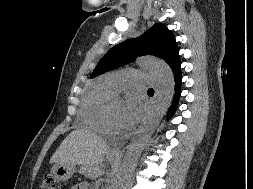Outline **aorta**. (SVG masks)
Listing matches in <instances>:
<instances>
[{"mask_svg": "<svg viewBox=\"0 0 253 189\" xmlns=\"http://www.w3.org/2000/svg\"><path fill=\"white\" fill-rule=\"evenodd\" d=\"M137 63L141 67L148 68L154 74L157 81V90L152 105L143 119L136 136L126 148L122 165L114 179L112 189L123 188L124 180L137 166L144 147L159 126L174 95L175 79L169 65L152 57L140 58Z\"/></svg>", "mask_w": 253, "mask_h": 189, "instance_id": "aorta-1", "label": "aorta"}]
</instances>
